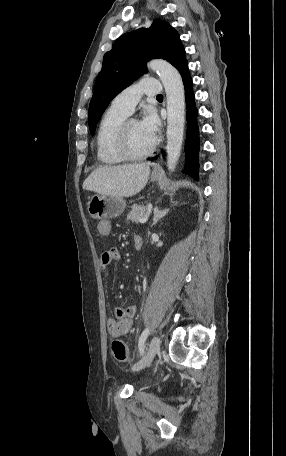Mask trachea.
<instances>
[{
  "instance_id": "1",
  "label": "trachea",
  "mask_w": 286,
  "mask_h": 456,
  "mask_svg": "<svg viewBox=\"0 0 286 456\" xmlns=\"http://www.w3.org/2000/svg\"><path fill=\"white\" fill-rule=\"evenodd\" d=\"M156 97L157 98H162L163 96L161 94H158Z\"/></svg>"
}]
</instances>
